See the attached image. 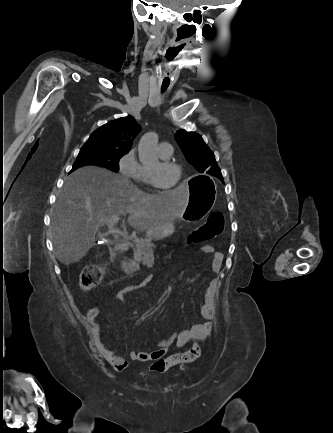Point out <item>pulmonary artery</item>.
<instances>
[{
	"instance_id": "pulmonary-artery-1",
	"label": "pulmonary artery",
	"mask_w": 333,
	"mask_h": 433,
	"mask_svg": "<svg viewBox=\"0 0 333 433\" xmlns=\"http://www.w3.org/2000/svg\"><path fill=\"white\" fill-rule=\"evenodd\" d=\"M158 151L161 157L169 158L173 153V147L170 143L162 142L158 146Z\"/></svg>"
}]
</instances>
